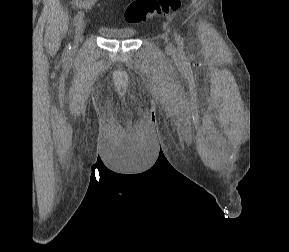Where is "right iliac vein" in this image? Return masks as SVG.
<instances>
[{
    "mask_svg": "<svg viewBox=\"0 0 289 252\" xmlns=\"http://www.w3.org/2000/svg\"><path fill=\"white\" fill-rule=\"evenodd\" d=\"M85 29V22L83 19H81L77 24L75 28V34H74V47L73 50L76 51L78 47V43L81 39L82 33Z\"/></svg>",
    "mask_w": 289,
    "mask_h": 252,
    "instance_id": "63e3f726",
    "label": "right iliac vein"
}]
</instances>
